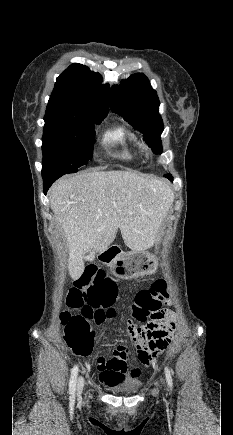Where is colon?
<instances>
[{"label":"colon","instance_id":"colon-1","mask_svg":"<svg viewBox=\"0 0 233 435\" xmlns=\"http://www.w3.org/2000/svg\"><path fill=\"white\" fill-rule=\"evenodd\" d=\"M111 280V277L103 269L90 266L85 268L74 285L69 288L67 304L72 308L80 309V313L64 315L65 340L69 348L76 354L86 355L90 353L94 347V326L107 323L115 316V310L110 307L115 297L98 293L85 299L82 290L93 282L104 284L110 283ZM167 295V281L164 279L154 281L149 288L141 289L136 294L131 305L132 315L142 321L153 318L161 309L163 300ZM171 329L170 325L154 329L150 325L142 327L129 322L130 343L116 344L112 351L122 357L124 364L136 357L141 363L150 365L168 346L171 340ZM145 337L148 339L150 352L142 350L139 345V341Z\"/></svg>","mask_w":233,"mask_h":435}]
</instances>
